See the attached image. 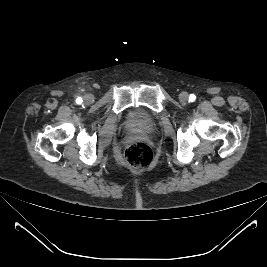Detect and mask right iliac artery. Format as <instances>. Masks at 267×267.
<instances>
[{
    "label": "right iliac artery",
    "instance_id": "82829eb1",
    "mask_svg": "<svg viewBox=\"0 0 267 267\" xmlns=\"http://www.w3.org/2000/svg\"><path fill=\"white\" fill-rule=\"evenodd\" d=\"M76 102H77L78 104H81V103H82V98H80V97L77 98V99H76Z\"/></svg>",
    "mask_w": 267,
    "mask_h": 267
}]
</instances>
